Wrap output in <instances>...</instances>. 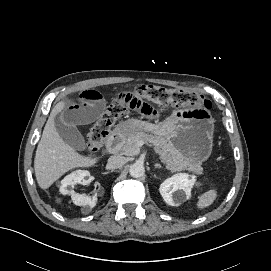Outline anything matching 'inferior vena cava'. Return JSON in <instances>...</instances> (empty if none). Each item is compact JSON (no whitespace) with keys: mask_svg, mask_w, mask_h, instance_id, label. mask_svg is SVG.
<instances>
[{"mask_svg":"<svg viewBox=\"0 0 271 271\" xmlns=\"http://www.w3.org/2000/svg\"><path fill=\"white\" fill-rule=\"evenodd\" d=\"M126 162H127V159L123 156H111L108 159L107 166L110 169H115V168L123 166Z\"/></svg>","mask_w":271,"mask_h":271,"instance_id":"obj_1","label":"inferior vena cava"}]
</instances>
